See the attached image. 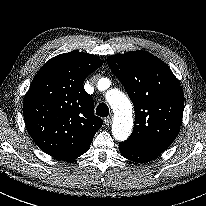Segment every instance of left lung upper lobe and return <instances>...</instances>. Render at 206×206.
<instances>
[{
    "instance_id": "obj_1",
    "label": "left lung upper lobe",
    "mask_w": 206,
    "mask_h": 206,
    "mask_svg": "<svg viewBox=\"0 0 206 206\" xmlns=\"http://www.w3.org/2000/svg\"><path fill=\"white\" fill-rule=\"evenodd\" d=\"M134 104L135 123L126 142L164 152L179 133L184 95L170 68L142 50L107 58Z\"/></svg>"
}]
</instances>
